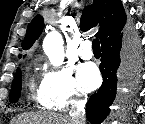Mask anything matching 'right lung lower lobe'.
Segmentation results:
<instances>
[{
    "label": "right lung lower lobe",
    "mask_w": 145,
    "mask_h": 124,
    "mask_svg": "<svg viewBox=\"0 0 145 124\" xmlns=\"http://www.w3.org/2000/svg\"><path fill=\"white\" fill-rule=\"evenodd\" d=\"M123 32L115 33L101 43L102 58L100 71L103 83L97 93L92 95L87 103V119L92 124H100L110 113V105L116 98L117 76L119 67L125 69L130 77V83L137 81L140 52L137 38Z\"/></svg>",
    "instance_id": "obj_1"
}]
</instances>
